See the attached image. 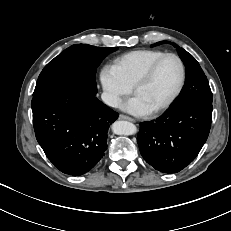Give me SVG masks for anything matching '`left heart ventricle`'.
<instances>
[{"label":"left heart ventricle","instance_id":"obj_1","mask_svg":"<svg viewBox=\"0 0 231 231\" xmlns=\"http://www.w3.org/2000/svg\"><path fill=\"white\" fill-rule=\"evenodd\" d=\"M179 80V63L174 58H165L159 63L151 79L138 88L135 94L153 110L172 95Z\"/></svg>","mask_w":231,"mask_h":231}]
</instances>
